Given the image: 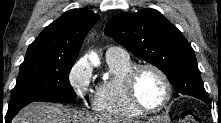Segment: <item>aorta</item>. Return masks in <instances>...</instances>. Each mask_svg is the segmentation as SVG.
I'll return each instance as SVG.
<instances>
[{
  "label": "aorta",
  "instance_id": "762f6f07",
  "mask_svg": "<svg viewBox=\"0 0 221 123\" xmlns=\"http://www.w3.org/2000/svg\"><path fill=\"white\" fill-rule=\"evenodd\" d=\"M90 60L94 66H98L100 64L99 58L95 53H91Z\"/></svg>",
  "mask_w": 221,
  "mask_h": 123
}]
</instances>
